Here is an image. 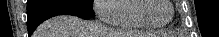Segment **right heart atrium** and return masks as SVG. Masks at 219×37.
<instances>
[{
	"mask_svg": "<svg viewBox=\"0 0 219 37\" xmlns=\"http://www.w3.org/2000/svg\"><path fill=\"white\" fill-rule=\"evenodd\" d=\"M119 5V0H95L94 10L100 19L115 24L120 18Z\"/></svg>",
	"mask_w": 219,
	"mask_h": 37,
	"instance_id": "right-heart-atrium-1",
	"label": "right heart atrium"
}]
</instances>
